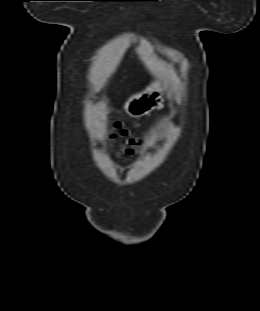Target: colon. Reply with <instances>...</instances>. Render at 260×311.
Wrapping results in <instances>:
<instances>
[{
  "label": "colon",
  "mask_w": 260,
  "mask_h": 311,
  "mask_svg": "<svg viewBox=\"0 0 260 311\" xmlns=\"http://www.w3.org/2000/svg\"><path fill=\"white\" fill-rule=\"evenodd\" d=\"M121 136L122 137H125L126 136V133L121 131L120 132ZM137 145V142L134 140V139H129L127 142H126V147L128 148V150H131V148L135 147Z\"/></svg>",
  "instance_id": "5ec220e1"
}]
</instances>
